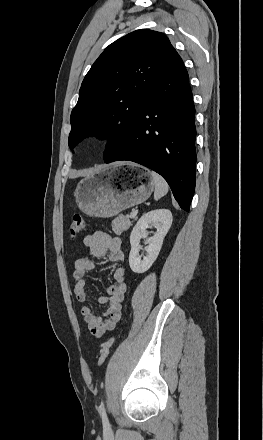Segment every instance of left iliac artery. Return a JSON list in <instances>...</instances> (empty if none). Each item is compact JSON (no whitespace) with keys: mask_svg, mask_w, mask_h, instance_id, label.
Here are the masks:
<instances>
[{"mask_svg":"<svg viewBox=\"0 0 263 440\" xmlns=\"http://www.w3.org/2000/svg\"><path fill=\"white\" fill-rule=\"evenodd\" d=\"M99 411L102 413V415H103V421H104V423L105 424H107L108 423V419H107V416H106V414H105V407H104V403L102 402L101 403V405L99 406Z\"/></svg>","mask_w":263,"mask_h":440,"instance_id":"left-iliac-artery-1","label":"left iliac artery"}]
</instances>
